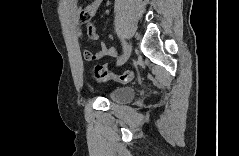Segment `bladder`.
Instances as JSON below:
<instances>
[{
	"label": "bladder",
	"mask_w": 239,
	"mask_h": 156,
	"mask_svg": "<svg viewBox=\"0 0 239 156\" xmlns=\"http://www.w3.org/2000/svg\"><path fill=\"white\" fill-rule=\"evenodd\" d=\"M135 97V90L132 87H116L107 93V98L115 103H130Z\"/></svg>",
	"instance_id": "obj_1"
}]
</instances>
